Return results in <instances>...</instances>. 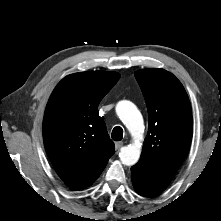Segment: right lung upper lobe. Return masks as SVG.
Masks as SVG:
<instances>
[{
	"label": "right lung upper lobe",
	"instance_id": "cb5924a9",
	"mask_svg": "<svg viewBox=\"0 0 221 221\" xmlns=\"http://www.w3.org/2000/svg\"><path fill=\"white\" fill-rule=\"evenodd\" d=\"M116 72L88 71L66 76L52 92L43 120L47 155L69 186H90L114 154L97 107L117 83Z\"/></svg>",
	"mask_w": 221,
	"mask_h": 221
}]
</instances>
